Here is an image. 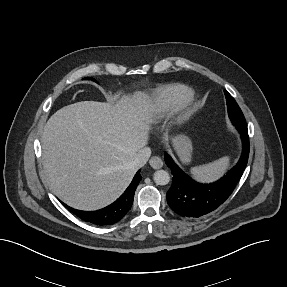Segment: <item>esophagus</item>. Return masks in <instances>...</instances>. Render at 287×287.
Listing matches in <instances>:
<instances>
[{"instance_id":"1","label":"esophagus","mask_w":287,"mask_h":287,"mask_svg":"<svg viewBox=\"0 0 287 287\" xmlns=\"http://www.w3.org/2000/svg\"><path fill=\"white\" fill-rule=\"evenodd\" d=\"M149 164L151 165L152 168L154 169H160L163 166V161L161 160L160 157L158 156H153L149 160Z\"/></svg>"}]
</instances>
